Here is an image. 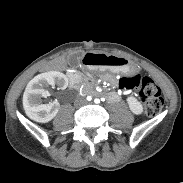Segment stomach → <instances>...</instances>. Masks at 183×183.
I'll list each match as a JSON object with an SVG mask.
<instances>
[{"label":"stomach","instance_id":"stomach-1","mask_svg":"<svg viewBox=\"0 0 183 183\" xmlns=\"http://www.w3.org/2000/svg\"><path fill=\"white\" fill-rule=\"evenodd\" d=\"M102 59L103 62L99 66V69L101 70L108 69L113 73L123 74L133 72V69L130 65V61L124 57L113 54H104V56H102Z\"/></svg>","mask_w":183,"mask_h":183}]
</instances>
